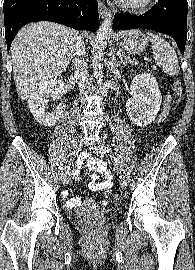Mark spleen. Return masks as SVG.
I'll return each instance as SVG.
<instances>
[{
	"instance_id": "spleen-1",
	"label": "spleen",
	"mask_w": 195,
	"mask_h": 270,
	"mask_svg": "<svg viewBox=\"0 0 195 270\" xmlns=\"http://www.w3.org/2000/svg\"><path fill=\"white\" fill-rule=\"evenodd\" d=\"M147 37L152 43L153 56L161 65L163 71L169 76H176L180 67L177 55L172 46L159 35L147 32Z\"/></svg>"
}]
</instances>
